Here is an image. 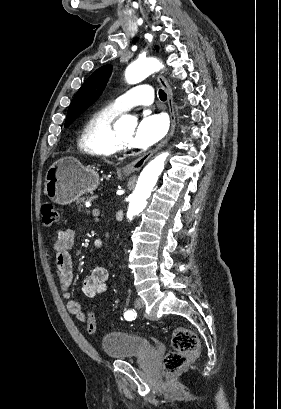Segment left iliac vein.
<instances>
[{
    "instance_id": "obj_1",
    "label": "left iliac vein",
    "mask_w": 281,
    "mask_h": 409,
    "mask_svg": "<svg viewBox=\"0 0 281 409\" xmlns=\"http://www.w3.org/2000/svg\"><path fill=\"white\" fill-rule=\"evenodd\" d=\"M144 307V301L142 298H137L135 300V308L140 309Z\"/></svg>"
}]
</instances>
